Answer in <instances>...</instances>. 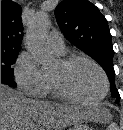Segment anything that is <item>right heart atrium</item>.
<instances>
[{"mask_svg":"<svg viewBox=\"0 0 123 130\" xmlns=\"http://www.w3.org/2000/svg\"><path fill=\"white\" fill-rule=\"evenodd\" d=\"M14 76L19 88L27 95L41 97L46 95L47 75L34 56L23 51L17 58Z\"/></svg>","mask_w":123,"mask_h":130,"instance_id":"1","label":"right heart atrium"}]
</instances>
